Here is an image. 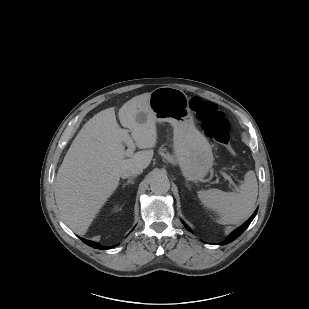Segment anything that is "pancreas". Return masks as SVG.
Returning a JSON list of instances; mask_svg holds the SVG:
<instances>
[{
    "label": "pancreas",
    "mask_w": 309,
    "mask_h": 309,
    "mask_svg": "<svg viewBox=\"0 0 309 309\" xmlns=\"http://www.w3.org/2000/svg\"><path fill=\"white\" fill-rule=\"evenodd\" d=\"M161 155L164 158H166L168 161H170V162L172 161V158H171V156L168 153L161 152Z\"/></svg>",
    "instance_id": "1"
}]
</instances>
